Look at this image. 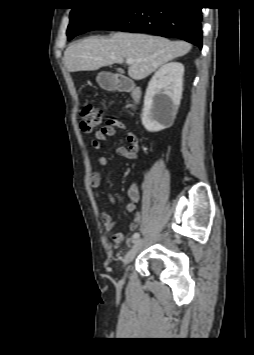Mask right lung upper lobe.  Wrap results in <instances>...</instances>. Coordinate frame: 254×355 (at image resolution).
Instances as JSON below:
<instances>
[{
  "instance_id": "right-lung-upper-lobe-1",
  "label": "right lung upper lobe",
  "mask_w": 254,
  "mask_h": 355,
  "mask_svg": "<svg viewBox=\"0 0 254 355\" xmlns=\"http://www.w3.org/2000/svg\"><path fill=\"white\" fill-rule=\"evenodd\" d=\"M91 1V0H90ZM118 1H122V2H131L133 0H118Z\"/></svg>"
}]
</instances>
